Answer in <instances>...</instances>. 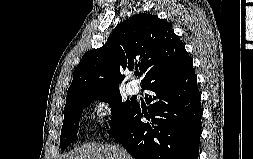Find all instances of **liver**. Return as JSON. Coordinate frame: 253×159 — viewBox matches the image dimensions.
<instances>
[{
    "instance_id": "obj_1",
    "label": "liver",
    "mask_w": 253,
    "mask_h": 159,
    "mask_svg": "<svg viewBox=\"0 0 253 159\" xmlns=\"http://www.w3.org/2000/svg\"><path fill=\"white\" fill-rule=\"evenodd\" d=\"M68 159H133L128 152L118 146L87 143L74 149Z\"/></svg>"
}]
</instances>
